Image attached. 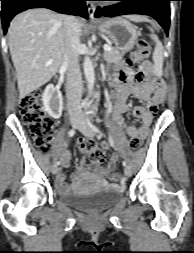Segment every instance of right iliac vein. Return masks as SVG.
I'll return each instance as SVG.
<instances>
[{"instance_id": "1", "label": "right iliac vein", "mask_w": 194, "mask_h": 253, "mask_svg": "<svg viewBox=\"0 0 194 253\" xmlns=\"http://www.w3.org/2000/svg\"><path fill=\"white\" fill-rule=\"evenodd\" d=\"M79 124H80V121L78 119L71 120V125L73 128H77ZM51 171L53 174H57L59 171V168L57 167V165H53Z\"/></svg>"}]
</instances>
